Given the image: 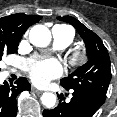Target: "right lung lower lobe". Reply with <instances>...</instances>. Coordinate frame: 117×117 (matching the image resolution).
<instances>
[{
  "label": "right lung lower lobe",
  "instance_id": "obj_1",
  "mask_svg": "<svg viewBox=\"0 0 117 117\" xmlns=\"http://www.w3.org/2000/svg\"><path fill=\"white\" fill-rule=\"evenodd\" d=\"M16 85H0V117H15L17 114L16 97L24 90L31 89L30 83L23 77L15 82Z\"/></svg>",
  "mask_w": 117,
  "mask_h": 117
}]
</instances>
